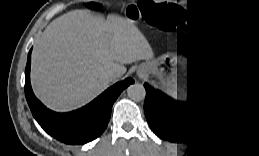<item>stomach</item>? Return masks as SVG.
<instances>
[{
	"label": "stomach",
	"mask_w": 259,
	"mask_h": 156,
	"mask_svg": "<svg viewBox=\"0 0 259 156\" xmlns=\"http://www.w3.org/2000/svg\"><path fill=\"white\" fill-rule=\"evenodd\" d=\"M135 17L127 10V18ZM149 73L156 77L162 89L167 88V68L171 67L172 81L177 85H181L183 89H187L188 80V64L187 60L181 58L167 59L166 55L160 56L155 60L148 62Z\"/></svg>",
	"instance_id": "0dacf381"
}]
</instances>
